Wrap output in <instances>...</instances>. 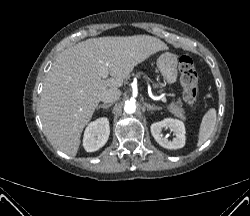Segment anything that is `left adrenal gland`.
<instances>
[{
	"instance_id": "obj_1",
	"label": "left adrenal gland",
	"mask_w": 250,
	"mask_h": 216,
	"mask_svg": "<svg viewBox=\"0 0 250 216\" xmlns=\"http://www.w3.org/2000/svg\"><path fill=\"white\" fill-rule=\"evenodd\" d=\"M145 105H146L148 111L160 110L161 109V107H158V106H155V105H151L149 103H146Z\"/></svg>"
}]
</instances>
